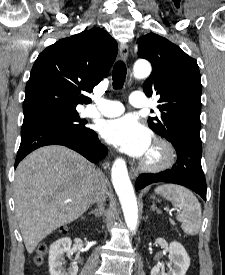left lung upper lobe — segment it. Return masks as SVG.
Returning a JSON list of instances; mask_svg holds the SVG:
<instances>
[{
  "instance_id": "obj_1",
  "label": "left lung upper lobe",
  "mask_w": 225,
  "mask_h": 275,
  "mask_svg": "<svg viewBox=\"0 0 225 275\" xmlns=\"http://www.w3.org/2000/svg\"><path fill=\"white\" fill-rule=\"evenodd\" d=\"M137 42L138 56L153 66L152 74L144 82V92L149 97H160L161 116L149 117V127L171 143L201 141V80L196 60L154 33Z\"/></svg>"
}]
</instances>
